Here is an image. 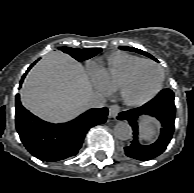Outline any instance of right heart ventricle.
I'll use <instances>...</instances> for the list:
<instances>
[{"label": "right heart ventricle", "instance_id": "right-heart-ventricle-1", "mask_svg": "<svg viewBox=\"0 0 194 193\" xmlns=\"http://www.w3.org/2000/svg\"><path fill=\"white\" fill-rule=\"evenodd\" d=\"M141 60H143V58L126 52L117 51L100 60L96 66L104 81L111 89H116L123 75L134 64Z\"/></svg>", "mask_w": 194, "mask_h": 193}]
</instances>
